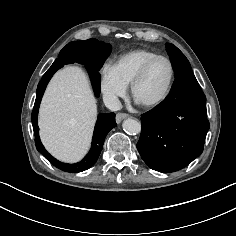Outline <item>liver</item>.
<instances>
[{"label":"liver","mask_w":236,"mask_h":236,"mask_svg":"<svg viewBox=\"0 0 236 236\" xmlns=\"http://www.w3.org/2000/svg\"><path fill=\"white\" fill-rule=\"evenodd\" d=\"M96 118V100L82 69L68 66L58 71L39 110L45 148L61 161H79L89 149Z\"/></svg>","instance_id":"1"}]
</instances>
